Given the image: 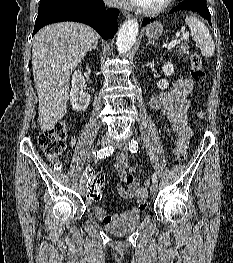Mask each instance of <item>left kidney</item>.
<instances>
[{
    "label": "left kidney",
    "mask_w": 233,
    "mask_h": 263,
    "mask_svg": "<svg viewBox=\"0 0 233 263\" xmlns=\"http://www.w3.org/2000/svg\"><path fill=\"white\" fill-rule=\"evenodd\" d=\"M162 70L165 76H172L174 74V66L169 62L164 63ZM168 85L169 83L166 79H162L157 83V87L161 90L167 89Z\"/></svg>",
    "instance_id": "5707ae66"
}]
</instances>
